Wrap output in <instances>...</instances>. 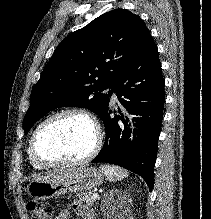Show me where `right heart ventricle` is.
Returning a JSON list of instances; mask_svg holds the SVG:
<instances>
[{
	"instance_id": "right-heart-ventricle-1",
	"label": "right heart ventricle",
	"mask_w": 211,
	"mask_h": 219,
	"mask_svg": "<svg viewBox=\"0 0 211 219\" xmlns=\"http://www.w3.org/2000/svg\"><path fill=\"white\" fill-rule=\"evenodd\" d=\"M28 157H29V162L30 164L35 168V169H39V170H43L45 169L46 167L38 164L33 158L32 156L30 155V152H29V148H28Z\"/></svg>"
}]
</instances>
